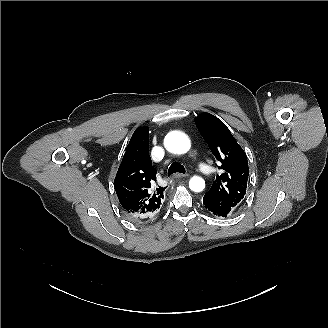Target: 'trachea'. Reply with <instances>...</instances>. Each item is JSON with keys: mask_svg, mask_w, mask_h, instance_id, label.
I'll return each instance as SVG.
<instances>
[{"mask_svg": "<svg viewBox=\"0 0 328 328\" xmlns=\"http://www.w3.org/2000/svg\"><path fill=\"white\" fill-rule=\"evenodd\" d=\"M176 172H180L183 174L186 172L184 166L178 162H174L170 165V167L168 169V176H171L172 174H174Z\"/></svg>", "mask_w": 328, "mask_h": 328, "instance_id": "obj_1", "label": "trachea"}]
</instances>
